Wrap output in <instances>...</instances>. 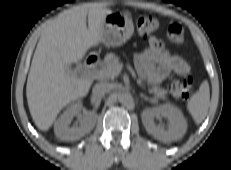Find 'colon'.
I'll return each instance as SVG.
<instances>
[{"mask_svg": "<svg viewBox=\"0 0 231 170\" xmlns=\"http://www.w3.org/2000/svg\"><path fill=\"white\" fill-rule=\"evenodd\" d=\"M136 28L139 34L150 37L158 28V21L152 16H140L136 20ZM169 92L179 98H188L194 90V80L192 77L175 78L168 83Z\"/></svg>", "mask_w": 231, "mask_h": 170, "instance_id": "colon-1", "label": "colon"}]
</instances>
